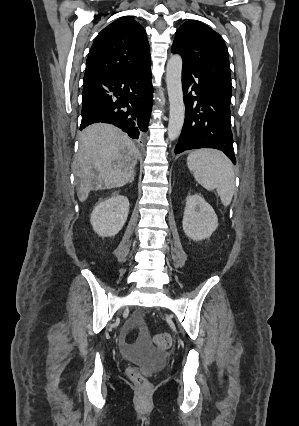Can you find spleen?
<instances>
[{
    "label": "spleen",
    "instance_id": "obj_1",
    "mask_svg": "<svg viewBox=\"0 0 299 426\" xmlns=\"http://www.w3.org/2000/svg\"><path fill=\"white\" fill-rule=\"evenodd\" d=\"M188 168L195 180L207 190L216 189L224 206L230 204L235 188L231 161L220 151L199 149L187 157Z\"/></svg>",
    "mask_w": 299,
    "mask_h": 426
}]
</instances>
